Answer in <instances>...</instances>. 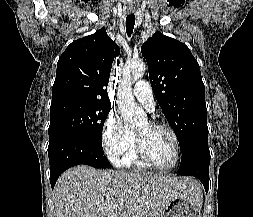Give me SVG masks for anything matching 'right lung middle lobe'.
I'll return each mask as SVG.
<instances>
[{
	"mask_svg": "<svg viewBox=\"0 0 253 217\" xmlns=\"http://www.w3.org/2000/svg\"><path fill=\"white\" fill-rule=\"evenodd\" d=\"M111 104L64 100L50 107L49 140L62 135H78L102 148V129Z\"/></svg>",
	"mask_w": 253,
	"mask_h": 217,
	"instance_id": "dd1d6c3e",
	"label": "right lung middle lobe"
}]
</instances>
